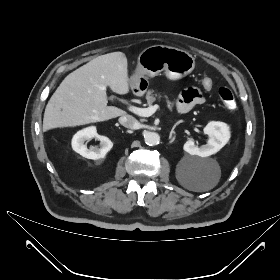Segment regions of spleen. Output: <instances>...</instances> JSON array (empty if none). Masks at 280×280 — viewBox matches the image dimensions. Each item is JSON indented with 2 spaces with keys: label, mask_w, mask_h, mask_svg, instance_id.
<instances>
[{
  "label": "spleen",
  "mask_w": 280,
  "mask_h": 280,
  "mask_svg": "<svg viewBox=\"0 0 280 280\" xmlns=\"http://www.w3.org/2000/svg\"><path fill=\"white\" fill-rule=\"evenodd\" d=\"M216 184H217V181L214 182V183H212V184H210V185H208V186H205V187H204V190L212 189Z\"/></svg>",
  "instance_id": "obj_1"
}]
</instances>
